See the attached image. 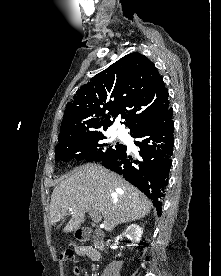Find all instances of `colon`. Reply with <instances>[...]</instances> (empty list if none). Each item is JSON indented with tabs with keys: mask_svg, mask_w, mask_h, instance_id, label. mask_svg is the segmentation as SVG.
Masks as SVG:
<instances>
[{
	"mask_svg": "<svg viewBox=\"0 0 221 276\" xmlns=\"http://www.w3.org/2000/svg\"><path fill=\"white\" fill-rule=\"evenodd\" d=\"M60 259L64 262H70L74 259V252L72 250H66L60 255Z\"/></svg>",
	"mask_w": 221,
	"mask_h": 276,
	"instance_id": "obj_1",
	"label": "colon"
}]
</instances>
